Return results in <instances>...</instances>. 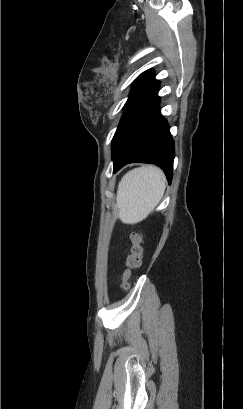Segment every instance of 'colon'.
<instances>
[{"instance_id": "5ec220e1", "label": "colon", "mask_w": 243, "mask_h": 409, "mask_svg": "<svg viewBox=\"0 0 243 409\" xmlns=\"http://www.w3.org/2000/svg\"><path fill=\"white\" fill-rule=\"evenodd\" d=\"M131 253L126 261V268L122 274L123 287L127 288L129 280L132 276V271L141 266L142 261V235L139 233L131 234Z\"/></svg>"}]
</instances>
